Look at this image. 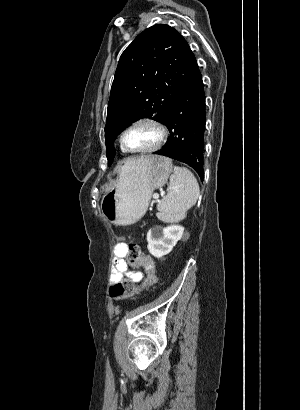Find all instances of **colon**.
I'll use <instances>...</instances> for the list:
<instances>
[{
  "mask_svg": "<svg viewBox=\"0 0 300 410\" xmlns=\"http://www.w3.org/2000/svg\"><path fill=\"white\" fill-rule=\"evenodd\" d=\"M126 258L133 265H142L148 272L147 277L141 285H136L128 279L114 282L110 287V295L116 300L128 298L140 290L149 289L156 283L153 259L145 254L138 244L130 243L126 246Z\"/></svg>",
  "mask_w": 300,
  "mask_h": 410,
  "instance_id": "obj_1",
  "label": "colon"
}]
</instances>
